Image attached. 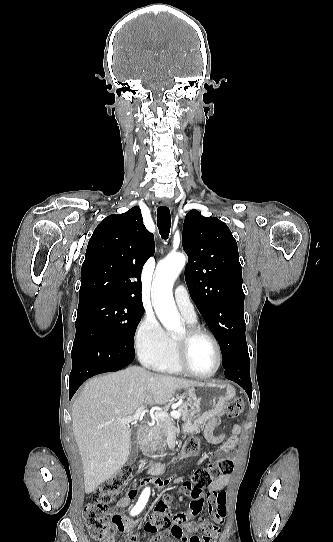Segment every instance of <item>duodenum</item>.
I'll use <instances>...</instances> for the list:
<instances>
[{
    "label": "duodenum",
    "instance_id": "obj_1",
    "mask_svg": "<svg viewBox=\"0 0 333 542\" xmlns=\"http://www.w3.org/2000/svg\"><path fill=\"white\" fill-rule=\"evenodd\" d=\"M138 443L141 446L146 443V433L144 430L139 433ZM147 470L152 475H161L165 470V466L161 463L150 464Z\"/></svg>",
    "mask_w": 333,
    "mask_h": 542
}]
</instances>
